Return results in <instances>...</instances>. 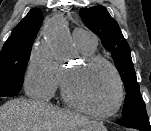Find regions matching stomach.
Segmentation results:
<instances>
[{"mask_svg": "<svg viewBox=\"0 0 151 131\" xmlns=\"http://www.w3.org/2000/svg\"><path fill=\"white\" fill-rule=\"evenodd\" d=\"M75 131H107V129L101 122L89 121L81 126H78Z\"/></svg>", "mask_w": 151, "mask_h": 131, "instance_id": "stomach-1", "label": "stomach"}]
</instances>
